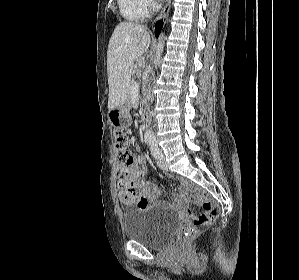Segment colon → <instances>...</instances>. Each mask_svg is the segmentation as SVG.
<instances>
[{
	"mask_svg": "<svg viewBox=\"0 0 299 280\" xmlns=\"http://www.w3.org/2000/svg\"><path fill=\"white\" fill-rule=\"evenodd\" d=\"M128 140V134L124 130L117 129L114 131L116 161L121 171L130 167L133 162V155L128 149ZM185 186L188 191L194 192L191 195V200L204 210L200 215L186 212L182 216L183 236L185 239H188L197 234L201 227L214 222L219 215V209L215 203L207 199L203 194L196 192L193 184L187 182Z\"/></svg>",
	"mask_w": 299,
	"mask_h": 280,
	"instance_id": "5ec220e1",
	"label": "colon"
}]
</instances>
